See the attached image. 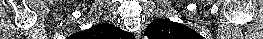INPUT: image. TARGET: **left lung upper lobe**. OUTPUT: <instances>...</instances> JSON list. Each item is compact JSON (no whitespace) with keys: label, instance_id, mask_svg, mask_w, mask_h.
<instances>
[{"label":"left lung upper lobe","instance_id":"left-lung-upper-lobe-1","mask_svg":"<svg viewBox=\"0 0 263 39\" xmlns=\"http://www.w3.org/2000/svg\"><path fill=\"white\" fill-rule=\"evenodd\" d=\"M144 34L148 39H203L191 28L167 19L154 20Z\"/></svg>","mask_w":263,"mask_h":39}]
</instances>
